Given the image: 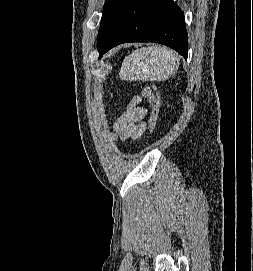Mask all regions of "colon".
Masks as SVG:
<instances>
[{"label": "colon", "instance_id": "1", "mask_svg": "<svg viewBox=\"0 0 253 271\" xmlns=\"http://www.w3.org/2000/svg\"><path fill=\"white\" fill-rule=\"evenodd\" d=\"M143 97L149 101L151 105L150 115V131L155 132L158 128L161 116V103L154 88L146 87L143 90Z\"/></svg>", "mask_w": 253, "mask_h": 271}]
</instances>
